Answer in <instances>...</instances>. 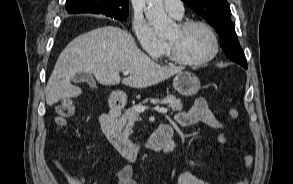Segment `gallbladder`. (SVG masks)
Wrapping results in <instances>:
<instances>
[{"mask_svg": "<svg viewBox=\"0 0 293 184\" xmlns=\"http://www.w3.org/2000/svg\"><path fill=\"white\" fill-rule=\"evenodd\" d=\"M72 81L74 83H80V82H88L90 83L91 85H94L95 84V81H94V78L91 74L89 73H85V72H81V73H77Z\"/></svg>", "mask_w": 293, "mask_h": 184, "instance_id": "obj_1", "label": "gallbladder"}]
</instances>
